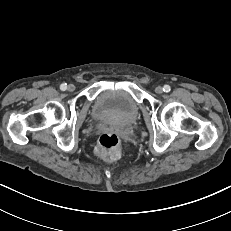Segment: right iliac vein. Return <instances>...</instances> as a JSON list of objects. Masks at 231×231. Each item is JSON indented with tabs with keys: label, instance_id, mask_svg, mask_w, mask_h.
Here are the masks:
<instances>
[{
	"label": "right iliac vein",
	"instance_id": "1",
	"mask_svg": "<svg viewBox=\"0 0 231 231\" xmlns=\"http://www.w3.org/2000/svg\"><path fill=\"white\" fill-rule=\"evenodd\" d=\"M67 90L69 92H73L75 90V86L73 84H69L68 87H67Z\"/></svg>",
	"mask_w": 231,
	"mask_h": 231
}]
</instances>
